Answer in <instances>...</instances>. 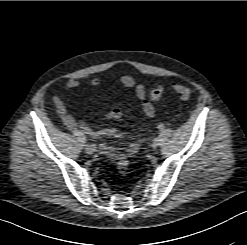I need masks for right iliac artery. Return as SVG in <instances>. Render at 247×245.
Masks as SVG:
<instances>
[{
	"mask_svg": "<svg viewBox=\"0 0 247 245\" xmlns=\"http://www.w3.org/2000/svg\"><path fill=\"white\" fill-rule=\"evenodd\" d=\"M91 149H96V144H91V145H88Z\"/></svg>",
	"mask_w": 247,
	"mask_h": 245,
	"instance_id": "1",
	"label": "right iliac artery"
}]
</instances>
